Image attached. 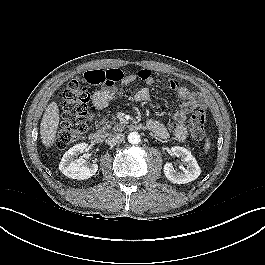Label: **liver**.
I'll return each instance as SVG.
<instances>
[{
    "mask_svg": "<svg viewBox=\"0 0 265 265\" xmlns=\"http://www.w3.org/2000/svg\"><path fill=\"white\" fill-rule=\"evenodd\" d=\"M59 109L56 102H51L44 112L41 124L40 135L42 143L46 147H51L55 141L58 125H59Z\"/></svg>",
    "mask_w": 265,
    "mask_h": 265,
    "instance_id": "1",
    "label": "liver"
}]
</instances>
